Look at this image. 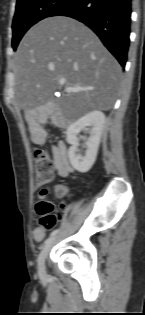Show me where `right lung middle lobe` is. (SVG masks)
Listing matches in <instances>:
<instances>
[{"instance_id":"1","label":"right lung middle lobe","mask_w":145,"mask_h":315,"mask_svg":"<svg viewBox=\"0 0 145 315\" xmlns=\"http://www.w3.org/2000/svg\"><path fill=\"white\" fill-rule=\"evenodd\" d=\"M70 0H18L13 18L12 47L15 50L25 32L38 21L50 17Z\"/></svg>"}]
</instances>
